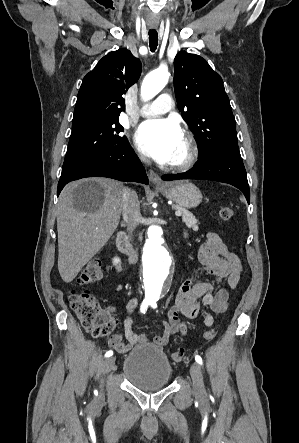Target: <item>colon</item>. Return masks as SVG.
I'll list each match as a JSON object with an SVG mask.
<instances>
[{
  "mask_svg": "<svg viewBox=\"0 0 299 443\" xmlns=\"http://www.w3.org/2000/svg\"><path fill=\"white\" fill-rule=\"evenodd\" d=\"M219 216L224 221H230L233 217V209L224 206L219 210ZM103 277L101 262L98 259L88 261L80 276L79 285H89L99 282ZM69 304L81 325L94 337H106L111 334L115 326L114 318L105 310L101 309L94 296L88 290L74 291L70 295ZM216 329L210 328L203 334L205 340L210 341L215 337ZM175 362H186L189 357L185 350L180 349L171 355Z\"/></svg>",
  "mask_w": 299,
  "mask_h": 443,
  "instance_id": "colon-1",
  "label": "colon"
}]
</instances>
